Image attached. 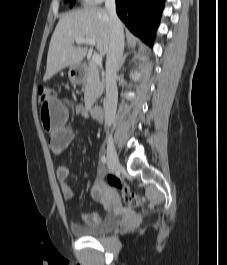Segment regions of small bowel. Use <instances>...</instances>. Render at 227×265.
<instances>
[{
	"label": "small bowel",
	"mask_w": 227,
	"mask_h": 265,
	"mask_svg": "<svg viewBox=\"0 0 227 265\" xmlns=\"http://www.w3.org/2000/svg\"><path fill=\"white\" fill-rule=\"evenodd\" d=\"M65 104H74V99L59 100L53 98L50 102H41V110L39 112L42 125L49 134L48 144L50 150L57 155L63 153L74 139V131L67 125L69 113ZM75 112L81 117L88 116L86 109L80 104L75 106ZM56 176L63 198L68 201L73 200L76 195L68 182L70 176L69 168L65 165H60L57 168ZM91 195L94 200L104 206H108L109 197L105 192L102 171L95 177ZM82 220L86 225L94 226L100 223L101 217L95 212H87L82 214Z\"/></svg>",
	"instance_id": "1"
}]
</instances>
